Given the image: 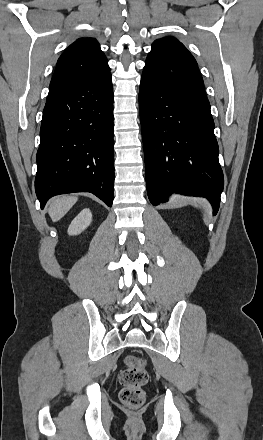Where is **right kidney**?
I'll list each match as a JSON object with an SVG mask.
<instances>
[{
	"label": "right kidney",
	"mask_w": 263,
	"mask_h": 440,
	"mask_svg": "<svg viewBox=\"0 0 263 440\" xmlns=\"http://www.w3.org/2000/svg\"><path fill=\"white\" fill-rule=\"evenodd\" d=\"M92 221L90 209H83L71 222L68 228L69 235H77L84 231Z\"/></svg>",
	"instance_id": "ca27d5eb"
}]
</instances>
